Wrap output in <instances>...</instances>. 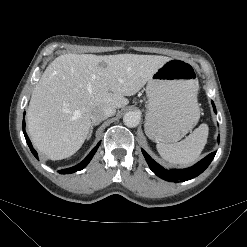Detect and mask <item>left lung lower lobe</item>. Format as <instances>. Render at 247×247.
<instances>
[{
	"label": "left lung lower lobe",
	"instance_id": "obj_1",
	"mask_svg": "<svg viewBox=\"0 0 247 247\" xmlns=\"http://www.w3.org/2000/svg\"><path fill=\"white\" fill-rule=\"evenodd\" d=\"M214 111L216 112L215 105L212 102ZM219 141V138H218ZM142 153L150 167V169L160 178L169 181V182H177L178 180L181 181H187L192 178H195L199 174H201L211 163L213 160L216 152L210 153L207 155L204 159L199 161L194 166L187 168V169H171L166 170L163 167H161L159 164H157L155 161L152 160V158L142 149Z\"/></svg>",
	"mask_w": 247,
	"mask_h": 247
}]
</instances>
